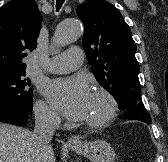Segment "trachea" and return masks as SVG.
I'll return each mask as SVG.
<instances>
[{
  "mask_svg": "<svg viewBox=\"0 0 168 162\" xmlns=\"http://www.w3.org/2000/svg\"><path fill=\"white\" fill-rule=\"evenodd\" d=\"M65 0H56V9L60 10Z\"/></svg>",
  "mask_w": 168,
  "mask_h": 162,
  "instance_id": "trachea-1",
  "label": "trachea"
}]
</instances>
